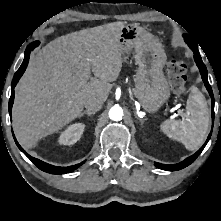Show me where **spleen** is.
<instances>
[{
  "instance_id": "1",
  "label": "spleen",
  "mask_w": 221,
  "mask_h": 221,
  "mask_svg": "<svg viewBox=\"0 0 221 221\" xmlns=\"http://www.w3.org/2000/svg\"><path fill=\"white\" fill-rule=\"evenodd\" d=\"M209 115L203 94L196 87H192L186 102V117L181 120L167 119L160 125V129L169 138L181 142L186 149L193 151L205 140Z\"/></svg>"
}]
</instances>
